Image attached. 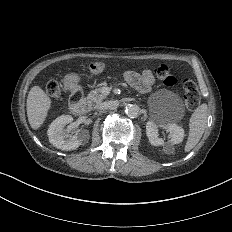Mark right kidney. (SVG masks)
I'll list each match as a JSON object with an SVG mask.
<instances>
[{"label":"right kidney","mask_w":232,"mask_h":232,"mask_svg":"<svg viewBox=\"0 0 232 232\" xmlns=\"http://www.w3.org/2000/svg\"><path fill=\"white\" fill-rule=\"evenodd\" d=\"M72 121L73 117L71 115H61L50 124L47 134L49 142L56 148L61 150H75L80 145L88 142L86 133L79 132L71 135L70 128L64 129Z\"/></svg>","instance_id":"right-kidney-1"}]
</instances>
